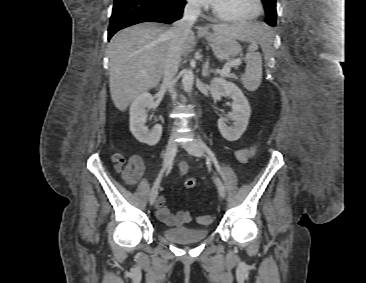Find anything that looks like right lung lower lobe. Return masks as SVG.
<instances>
[{"instance_id": "obj_1", "label": "right lung lower lobe", "mask_w": 366, "mask_h": 283, "mask_svg": "<svg viewBox=\"0 0 366 283\" xmlns=\"http://www.w3.org/2000/svg\"><path fill=\"white\" fill-rule=\"evenodd\" d=\"M185 0H115L108 40L119 30L142 22L171 24L183 14Z\"/></svg>"}]
</instances>
